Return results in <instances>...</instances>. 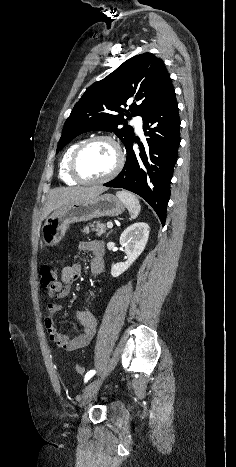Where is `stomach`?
<instances>
[{"label":"stomach","mask_w":236,"mask_h":467,"mask_svg":"<svg viewBox=\"0 0 236 467\" xmlns=\"http://www.w3.org/2000/svg\"><path fill=\"white\" fill-rule=\"evenodd\" d=\"M124 210V203L112 194H103L88 201L65 205L55 210L44 223L42 241L45 246H54L65 236L70 224L86 222L102 216H118Z\"/></svg>","instance_id":"stomach-1"}]
</instances>
